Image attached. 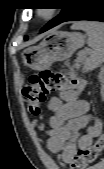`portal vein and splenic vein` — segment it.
Here are the masks:
<instances>
[{
	"label": "portal vein and splenic vein",
	"instance_id": "obj_1",
	"mask_svg": "<svg viewBox=\"0 0 104 169\" xmlns=\"http://www.w3.org/2000/svg\"><path fill=\"white\" fill-rule=\"evenodd\" d=\"M85 59V55L84 54H82V55H79L78 57H77V59H76V66H78V63L79 62H82L83 60Z\"/></svg>",
	"mask_w": 104,
	"mask_h": 169
}]
</instances>
